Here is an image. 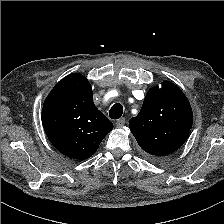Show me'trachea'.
Returning a JSON list of instances; mask_svg holds the SVG:
<instances>
[{
	"mask_svg": "<svg viewBox=\"0 0 224 224\" xmlns=\"http://www.w3.org/2000/svg\"><path fill=\"white\" fill-rule=\"evenodd\" d=\"M122 114L123 106L119 103L114 104L109 111V116L111 119H119Z\"/></svg>",
	"mask_w": 224,
	"mask_h": 224,
	"instance_id": "3493384b",
	"label": "trachea"
}]
</instances>
